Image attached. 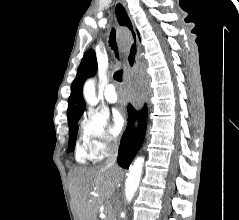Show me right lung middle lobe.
I'll use <instances>...</instances> for the list:
<instances>
[{"label": "right lung middle lobe", "instance_id": "obj_1", "mask_svg": "<svg viewBox=\"0 0 239 220\" xmlns=\"http://www.w3.org/2000/svg\"><path fill=\"white\" fill-rule=\"evenodd\" d=\"M80 117H78L77 119L71 121L69 124V133H70V137H69V150L72 151L75 147V143H76V137H77V122L79 121Z\"/></svg>", "mask_w": 239, "mask_h": 220}]
</instances>
